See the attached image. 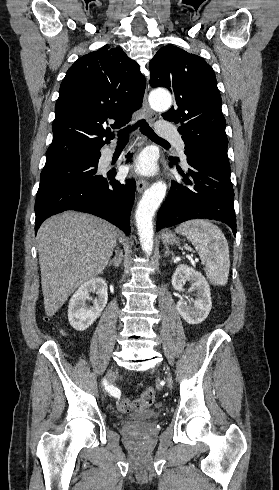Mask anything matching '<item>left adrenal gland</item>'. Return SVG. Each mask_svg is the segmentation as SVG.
Wrapping results in <instances>:
<instances>
[{
    "mask_svg": "<svg viewBox=\"0 0 279 490\" xmlns=\"http://www.w3.org/2000/svg\"><path fill=\"white\" fill-rule=\"evenodd\" d=\"M165 248H166V252H165L164 256H172V260H174V258H175L174 252H170L168 246H165Z\"/></svg>",
    "mask_w": 279,
    "mask_h": 490,
    "instance_id": "1",
    "label": "left adrenal gland"
}]
</instances>
